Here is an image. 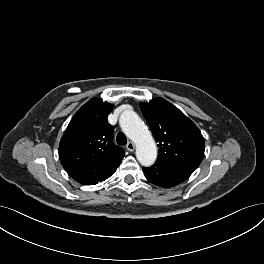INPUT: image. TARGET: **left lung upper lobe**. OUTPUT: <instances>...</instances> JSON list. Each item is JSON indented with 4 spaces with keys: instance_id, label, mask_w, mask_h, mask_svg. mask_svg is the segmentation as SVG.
<instances>
[{
    "instance_id": "left-lung-upper-lobe-1",
    "label": "left lung upper lobe",
    "mask_w": 264,
    "mask_h": 264,
    "mask_svg": "<svg viewBox=\"0 0 264 264\" xmlns=\"http://www.w3.org/2000/svg\"><path fill=\"white\" fill-rule=\"evenodd\" d=\"M140 107L158 143L157 161L195 170L200 165L205 150L204 138L197 126L163 98L141 103Z\"/></svg>"
}]
</instances>
